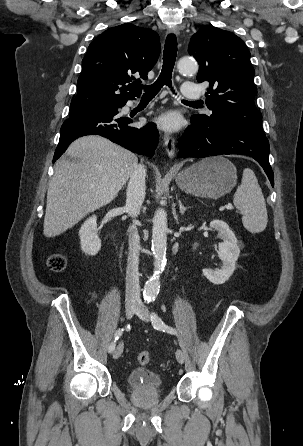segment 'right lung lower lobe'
<instances>
[{"mask_svg":"<svg viewBox=\"0 0 303 446\" xmlns=\"http://www.w3.org/2000/svg\"><path fill=\"white\" fill-rule=\"evenodd\" d=\"M130 117H121L117 110L99 109L69 116L60 130L55 162L76 138L84 135H101L132 152L153 156L158 144V131L155 125L144 128L129 126Z\"/></svg>","mask_w":303,"mask_h":446,"instance_id":"98d812e1","label":"right lung lower lobe"}]
</instances>
